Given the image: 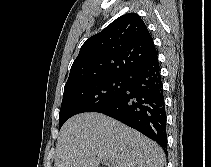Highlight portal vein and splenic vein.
Instances as JSON below:
<instances>
[{
  "label": "portal vein and splenic vein",
  "instance_id": "1",
  "mask_svg": "<svg viewBox=\"0 0 211 167\" xmlns=\"http://www.w3.org/2000/svg\"><path fill=\"white\" fill-rule=\"evenodd\" d=\"M103 163H104L105 165H109L107 161H103Z\"/></svg>",
  "mask_w": 211,
  "mask_h": 167
}]
</instances>
